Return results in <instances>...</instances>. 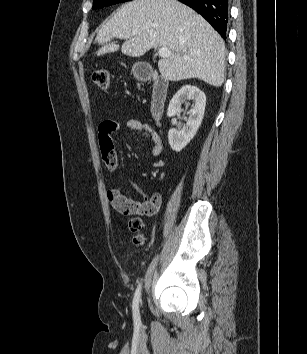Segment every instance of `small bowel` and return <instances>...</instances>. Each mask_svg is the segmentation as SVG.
I'll return each instance as SVG.
<instances>
[{
	"instance_id": "obj_1",
	"label": "small bowel",
	"mask_w": 307,
	"mask_h": 354,
	"mask_svg": "<svg viewBox=\"0 0 307 354\" xmlns=\"http://www.w3.org/2000/svg\"><path fill=\"white\" fill-rule=\"evenodd\" d=\"M125 126L142 134L145 139L153 143L151 155L158 157L163 151V144L159 134L146 122L137 119H128ZM121 129V124L115 120H105L99 125V144L103 161L110 171H115L118 166L117 153L114 148L112 135ZM109 201L117 210L127 209L130 214L142 213L146 216L153 215L160 205V195L158 193L144 201L137 202L122 195L116 188L110 189L107 193ZM149 208L150 211H147Z\"/></svg>"
}]
</instances>
